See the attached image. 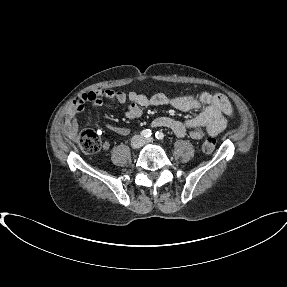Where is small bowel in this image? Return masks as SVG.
I'll return each mask as SVG.
<instances>
[{
  "instance_id": "1",
  "label": "small bowel",
  "mask_w": 287,
  "mask_h": 287,
  "mask_svg": "<svg viewBox=\"0 0 287 287\" xmlns=\"http://www.w3.org/2000/svg\"><path fill=\"white\" fill-rule=\"evenodd\" d=\"M104 99L112 103L127 104L126 117L128 119L140 117L143 111L150 106L169 104L182 111L202 108L198 115L185 122L168 116H160L153 120L155 127H166L179 137H190L195 140L221 133L227 125L228 117L233 112L229 100L222 94L201 92L169 97L163 93L146 96L136 92L97 90L75 98L65 117L63 127L65 135L74 137L78 132V115L86 110L88 104L93 108L101 107ZM109 127L121 135H127L130 132L129 128L123 126L110 124ZM103 148L108 149L109 143H104Z\"/></svg>"
}]
</instances>
